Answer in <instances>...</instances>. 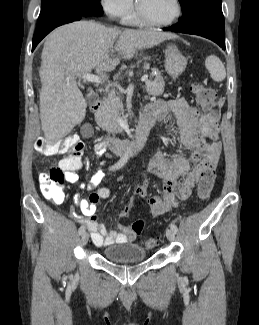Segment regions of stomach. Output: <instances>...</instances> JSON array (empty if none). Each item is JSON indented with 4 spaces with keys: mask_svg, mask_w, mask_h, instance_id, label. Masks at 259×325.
<instances>
[{
    "mask_svg": "<svg viewBox=\"0 0 259 325\" xmlns=\"http://www.w3.org/2000/svg\"><path fill=\"white\" fill-rule=\"evenodd\" d=\"M165 59V69L174 78L182 74L186 68L187 60L174 44L167 45Z\"/></svg>",
    "mask_w": 259,
    "mask_h": 325,
    "instance_id": "0dacf381",
    "label": "stomach"
}]
</instances>
